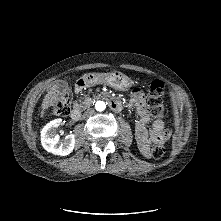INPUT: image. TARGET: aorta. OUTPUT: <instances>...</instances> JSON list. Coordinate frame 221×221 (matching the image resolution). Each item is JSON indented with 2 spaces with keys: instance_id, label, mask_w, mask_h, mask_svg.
Wrapping results in <instances>:
<instances>
[{
  "instance_id": "1",
  "label": "aorta",
  "mask_w": 221,
  "mask_h": 221,
  "mask_svg": "<svg viewBox=\"0 0 221 221\" xmlns=\"http://www.w3.org/2000/svg\"><path fill=\"white\" fill-rule=\"evenodd\" d=\"M106 108V104L104 101H97L95 104V109L99 112L104 111Z\"/></svg>"
}]
</instances>
